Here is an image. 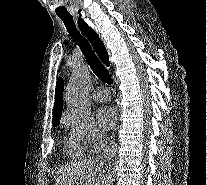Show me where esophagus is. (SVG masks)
<instances>
[{"instance_id": "obj_1", "label": "esophagus", "mask_w": 207, "mask_h": 185, "mask_svg": "<svg viewBox=\"0 0 207 185\" xmlns=\"http://www.w3.org/2000/svg\"><path fill=\"white\" fill-rule=\"evenodd\" d=\"M76 14H85V9H76ZM76 22L77 27L79 30H94L93 26L91 25V22H89V19H85V15H76ZM87 24V25H83ZM97 32V30L95 31ZM103 34L102 33H85V38H89L88 42L92 44L93 48H106V43H101ZM97 55H107V56H99V61H107L105 62V67H112V62L110 60V52L108 50H97ZM115 105L116 108H118V97L115 96Z\"/></svg>"}]
</instances>
